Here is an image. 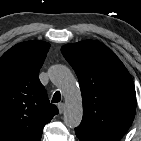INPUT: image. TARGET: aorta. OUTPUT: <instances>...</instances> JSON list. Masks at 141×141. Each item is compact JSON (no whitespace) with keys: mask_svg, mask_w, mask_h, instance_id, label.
Returning <instances> with one entry per match:
<instances>
[{"mask_svg":"<svg viewBox=\"0 0 141 141\" xmlns=\"http://www.w3.org/2000/svg\"><path fill=\"white\" fill-rule=\"evenodd\" d=\"M49 76L65 98L64 124L69 128L78 127L82 120L83 107L80 88L74 75L68 67L56 64L49 69Z\"/></svg>","mask_w":141,"mask_h":141,"instance_id":"762f6f07","label":"aorta"}]
</instances>
